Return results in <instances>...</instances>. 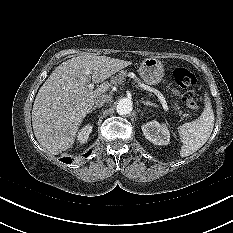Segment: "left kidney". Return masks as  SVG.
Listing matches in <instances>:
<instances>
[{
  "label": "left kidney",
  "mask_w": 233,
  "mask_h": 233,
  "mask_svg": "<svg viewBox=\"0 0 233 233\" xmlns=\"http://www.w3.org/2000/svg\"><path fill=\"white\" fill-rule=\"evenodd\" d=\"M142 131L146 139L155 145H167L170 141V133L165 124L151 121L142 125Z\"/></svg>",
  "instance_id": "5707ae66"
}]
</instances>
